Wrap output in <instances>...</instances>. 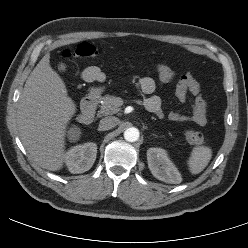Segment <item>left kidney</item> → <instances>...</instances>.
<instances>
[{
  "label": "left kidney",
  "instance_id": "obj_1",
  "mask_svg": "<svg viewBox=\"0 0 248 248\" xmlns=\"http://www.w3.org/2000/svg\"><path fill=\"white\" fill-rule=\"evenodd\" d=\"M147 161L148 167L155 178L170 184L181 183V174L164 149L149 148L147 150Z\"/></svg>",
  "mask_w": 248,
  "mask_h": 248
}]
</instances>
